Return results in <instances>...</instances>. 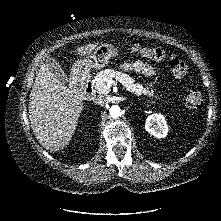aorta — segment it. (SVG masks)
<instances>
[{
	"mask_svg": "<svg viewBox=\"0 0 221 221\" xmlns=\"http://www.w3.org/2000/svg\"><path fill=\"white\" fill-rule=\"evenodd\" d=\"M110 115L113 118H117L121 115V110L120 107L117 105H113L111 106V108L109 109Z\"/></svg>",
	"mask_w": 221,
	"mask_h": 221,
	"instance_id": "aorta-1",
	"label": "aorta"
}]
</instances>
